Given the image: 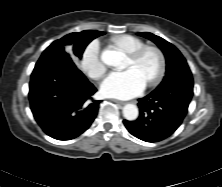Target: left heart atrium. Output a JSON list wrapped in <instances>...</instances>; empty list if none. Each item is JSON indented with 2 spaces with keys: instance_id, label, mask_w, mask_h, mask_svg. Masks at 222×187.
Instances as JSON below:
<instances>
[{
  "instance_id": "left-heart-atrium-1",
  "label": "left heart atrium",
  "mask_w": 222,
  "mask_h": 187,
  "mask_svg": "<svg viewBox=\"0 0 222 187\" xmlns=\"http://www.w3.org/2000/svg\"><path fill=\"white\" fill-rule=\"evenodd\" d=\"M146 84L134 69L113 72L101 85L106 97L129 99L140 94Z\"/></svg>"
}]
</instances>
